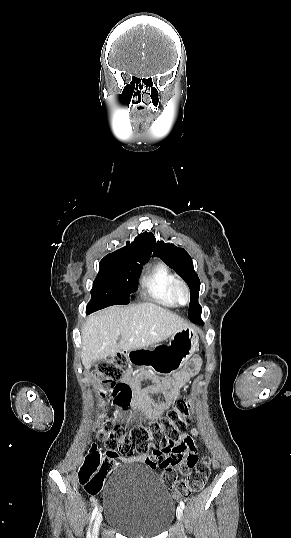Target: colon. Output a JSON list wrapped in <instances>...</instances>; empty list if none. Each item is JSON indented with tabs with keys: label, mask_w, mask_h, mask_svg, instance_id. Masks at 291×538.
<instances>
[{
	"label": "colon",
	"mask_w": 291,
	"mask_h": 538,
	"mask_svg": "<svg viewBox=\"0 0 291 538\" xmlns=\"http://www.w3.org/2000/svg\"><path fill=\"white\" fill-rule=\"evenodd\" d=\"M128 358L123 353L111 356L97 367L102 394H112L113 401L122 409L131 402V388L122 383ZM190 410V399L180 398L165 416L153 419L147 426H134L129 432L111 419L98 423V438L103 441L106 452L91 446L78 470V480L86 492L100 491L106 476L118 466V455L145 454L154 448L149 463L158 466L163 483L180 497L198 492L210 474V460L198 459L197 453L187 444L180 442V432L186 428ZM186 465L189 472L180 477L177 468Z\"/></svg>",
	"instance_id": "1"
}]
</instances>
